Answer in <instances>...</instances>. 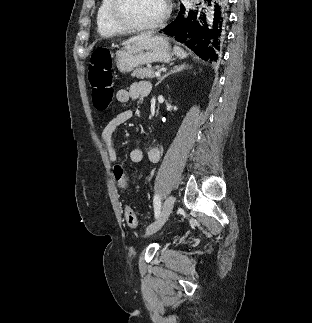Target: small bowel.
I'll return each instance as SVG.
<instances>
[{"instance_id": "1", "label": "small bowel", "mask_w": 312, "mask_h": 323, "mask_svg": "<svg viewBox=\"0 0 312 323\" xmlns=\"http://www.w3.org/2000/svg\"><path fill=\"white\" fill-rule=\"evenodd\" d=\"M152 90L151 84L148 81L140 80L132 83L127 89H118L115 94L118 103H128L131 100H137L150 94ZM133 116L131 109H124L112 115L101 132V141L106 150L109 161L112 164L118 163L117 151L113 143V134L116 129L128 122ZM144 156L151 163H157L160 159V151L157 147L150 146L143 150L142 148H133L130 151V160L134 163H140Z\"/></svg>"}]
</instances>
